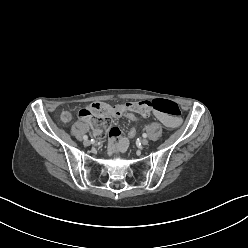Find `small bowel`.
Wrapping results in <instances>:
<instances>
[{
	"label": "small bowel",
	"instance_id": "c3829d8e",
	"mask_svg": "<svg viewBox=\"0 0 248 248\" xmlns=\"http://www.w3.org/2000/svg\"><path fill=\"white\" fill-rule=\"evenodd\" d=\"M118 108V114L112 115V117H123V111L128 110L124 107V105H117ZM132 112L131 110H129ZM156 119L161 122L166 127L174 128L181 124L180 118L172 117L168 114L155 111L154 113ZM127 119V118H126ZM128 120V119H127ZM129 134V132H128ZM123 136L121 133V130L117 126H113L107 129L106 131V137L109 142L108 146V153L114 154V153H123L127 150L128 147V138L129 136Z\"/></svg>",
	"mask_w": 248,
	"mask_h": 248
}]
</instances>
